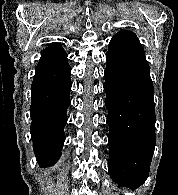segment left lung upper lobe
Here are the masks:
<instances>
[{
	"label": "left lung upper lobe",
	"instance_id": "obj_1",
	"mask_svg": "<svg viewBox=\"0 0 178 195\" xmlns=\"http://www.w3.org/2000/svg\"><path fill=\"white\" fill-rule=\"evenodd\" d=\"M108 52L147 63L144 49L137 36L126 30H122L112 37Z\"/></svg>",
	"mask_w": 178,
	"mask_h": 195
}]
</instances>
